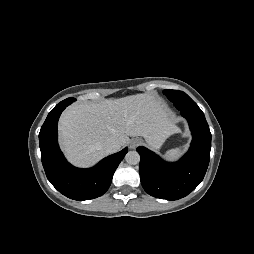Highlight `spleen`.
<instances>
[{
	"mask_svg": "<svg viewBox=\"0 0 254 254\" xmlns=\"http://www.w3.org/2000/svg\"><path fill=\"white\" fill-rule=\"evenodd\" d=\"M182 152H183L182 147H178V148L166 151V153L164 154V157L168 160H176L182 154Z\"/></svg>",
	"mask_w": 254,
	"mask_h": 254,
	"instance_id": "3e777b00",
	"label": "spleen"
}]
</instances>
